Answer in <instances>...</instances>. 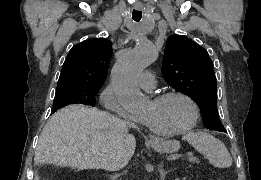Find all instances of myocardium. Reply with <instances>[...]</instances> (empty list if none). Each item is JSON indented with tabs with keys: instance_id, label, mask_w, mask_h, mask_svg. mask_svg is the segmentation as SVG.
Returning <instances> with one entry per match:
<instances>
[{
	"instance_id": "myocardium-1",
	"label": "myocardium",
	"mask_w": 261,
	"mask_h": 180,
	"mask_svg": "<svg viewBox=\"0 0 261 180\" xmlns=\"http://www.w3.org/2000/svg\"><path fill=\"white\" fill-rule=\"evenodd\" d=\"M173 96H177V97L184 99L190 105L191 117H190L188 124L182 131H180L176 134H171L168 136H157V135H154L144 123H142L141 121L138 120V124L140 126V130H141L142 134L145 137H147L148 139H151V140L181 139L184 136H186L196 125L198 118H199V106H198L197 102L195 101V99L192 96H190L189 94H187L186 92L181 91V90H168V91H164V92L153 93L151 95V99L156 102V101H160V100H163V99H166L169 97H173Z\"/></svg>"
}]
</instances>
